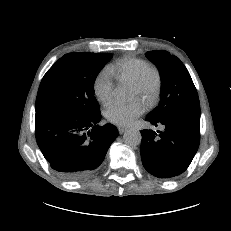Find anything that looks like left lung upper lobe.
I'll use <instances>...</instances> for the list:
<instances>
[{"mask_svg": "<svg viewBox=\"0 0 231 231\" xmlns=\"http://www.w3.org/2000/svg\"><path fill=\"white\" fill-rule=\"evenodd\" d=\"M146 57L159 69L163 83L160 104L147 117L158 119L184 113H200L197 90L180 59L160 50L148 51Z\"/></svg>", "mask_w": 231, "mask_h": 231, "instance_id": "1", "label": "left lung upper lobe"}]
</instances>
